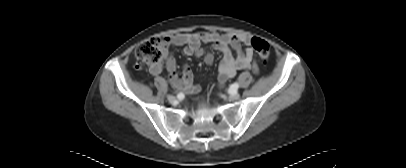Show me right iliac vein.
<instances>
[{
  "mask_svg": "<svg viewBox=\"0 0 406 168\" xmlns=\"http://www.w3.org/2000/svg\"><path fill=\"white\" fill-rule=\"evenodd\" d=\"M167 99H168L169 102L173 103V102H175L176 97L173 96V95H168V96H167Z\"/></svg>",
  "mask_w": 406,
  "mask_h": 168,
  "instance_id": "1",
  "label": "right iliac vein"
}]
</instances>
